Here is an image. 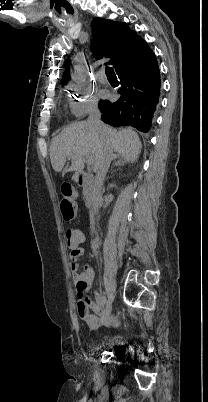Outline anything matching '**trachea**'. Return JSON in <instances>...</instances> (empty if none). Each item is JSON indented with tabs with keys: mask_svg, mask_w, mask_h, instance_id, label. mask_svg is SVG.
Listing matches in <instances>:
<instances>
[{
	"mask_svg": "<svg viewBox=\"0 0 208 402\" xmlns=\"http://www.w3.org/2000/svg\"><path fill=\"white\" fill-rule=\"evenodd\" d=\"M105 72L108 78H117L112 67H106Z\"/></svg>",
	"mask_w": 208,
	"mask_h": 402,
	"instance_id": "obj_1",
	"label": "trachea"
}]
</instances>
